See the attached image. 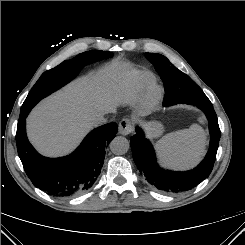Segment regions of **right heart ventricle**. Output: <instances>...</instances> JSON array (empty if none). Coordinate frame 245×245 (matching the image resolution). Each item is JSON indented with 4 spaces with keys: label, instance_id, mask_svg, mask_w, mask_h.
I'll return each mask as SVG.
<instances>
[{
    "label": "right heart ventricle",
    "instance_id": "right-heart-ventricle-1",
    "mask_svg": "<svg viewBox=\"0 0 245 245\" xmlns=\"http://www.w3.org/2000/svg\"><path fill=\"white\" fill-rule=\"evenodd\" d=\"M153 83H154V78L151 75L145 73L141 76V87L143 89L150 87Z\"/></svg>",
    "mask_w": 245,
    "mask_h": 245
}]
</instances>
